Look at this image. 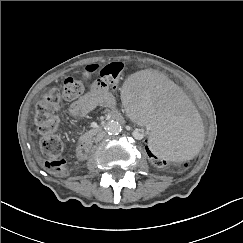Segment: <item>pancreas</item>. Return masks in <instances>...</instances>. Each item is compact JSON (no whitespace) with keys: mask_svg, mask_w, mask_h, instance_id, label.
Here are the masks:
<instances>
[{"mask_svg":"<svg viewBox=\"0 0 243 243\" xmlns=\"http://www.w3.org/2000/svg\"><path fill=\"white\" fill-rule=\"evenodd\" d=\"M96 133V130H90L88 132H86L85 134H83L79 140L80 141H85V140H88V139H91L93 135H95Z\"/></svg>","mask_w":243,"mask_h":243,"instance_id":"1","label":"pancreas"}]
</instances>
